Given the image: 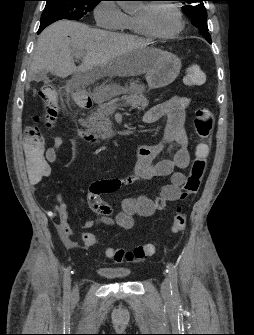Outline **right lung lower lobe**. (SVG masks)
I'll return each mask as SVG.
<instances>
[{
    "mask_svg": "<svg viewBox=\"0 0 254 335\" xmlns=\"http://www.w3.org/2000/svg\"><path fill=\"white\" fill-rule=\"evenodd\" d=\"M53 22H55V21L53 20V21H46V22L41 23L37 33L40 34L45 27H47L48 25H50Z\"/></svg>",
    "mask_w": 254,
    "mask_h": 335,
    "instance_id": "obj_1",
    "label": "right lung lower lobe"
}]
</instances>
